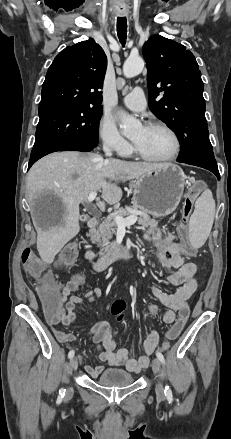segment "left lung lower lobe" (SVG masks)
Instances as JSON below:
<instances>
[{
	"mask_svg": "<svg viewBox=\"0 0 231 439\" xmlns=\"http://www.w3.org/2000/svg\"><path fill=\"white\" fill-rule=\"evenodd\" d=\"M177 161L207 169V170L211 171L212 173H214L218 179H220V174L218 171L217 163L213 164V163L201 160V159H186V160L177 159Z\"/></svg>",
	"mask_w": 231,
	"mask_h": 439,
	"instance_id": "obj_1",
	"label": "left lung lower lobe"
}]
</instances>
